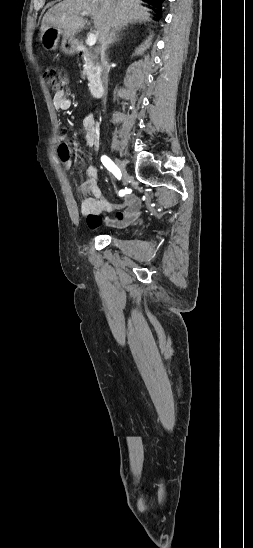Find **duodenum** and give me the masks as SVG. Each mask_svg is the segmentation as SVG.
Instances as JSON below:
<instances>
[{"label":"duodenum","instance_id":"obj_1","mask_svg":"<svg viewBox=\"0 0 253 548\" xmlns=\"http://www.w3.org/2000/svg\"><path fill=\"white\" fill-rule=\"evenodd\" d=\"M81 53H85V51L82 50ZM91 92L94 97H101L104 91L100 85H95L92 87Z\"/></svg>","mask_w":253,"mask_h":548}]
</instances>
